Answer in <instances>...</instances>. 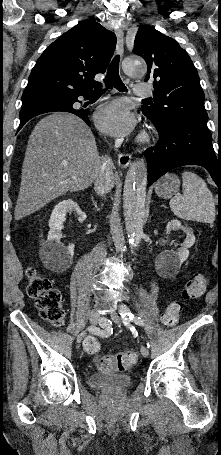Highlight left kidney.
<instances>
[{"label": "left kidney", "instance_id": "1", "mask_svg": "<svg viewBox=\"0 0 221 455\" xmlns=\"http://www.w3.org/2000/svg\"><path fill=\"white\" fill-rule=\"evenodd\" d=\"M183 230L186 232V238L184 242L181 244V247L177 249V251H163L161 252L156 261L160 268L164 270H171L176 271L181 267V264L188 258L189 256V248L195 243V236L191 228L187 226H182L181 222L178 220H171L168 222L166 226V234H168L172 230Z\"/></svg>", "mask_w": 221, "mask_h": 455}]
</instances>
